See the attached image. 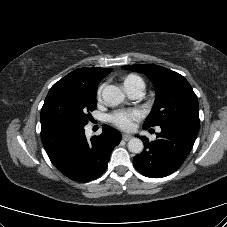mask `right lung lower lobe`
Masks as SVG:
<instances>
[{
    "mask_svg": "<svg viewBox=\"0 0 227 227\" xmlns=\"http://www.w3.org/2000/svg\"><path fill=\"white\" fill-rule=\"evenodd\" d=\"M84 126L54 122L41 126V139L53 165L68 178L87 182L107 168L110 154L121 141V133L103 125V132L87 140Z\"/></svg>",
    "mask_w": 227,
    "mask_h": 227,
    "instance_id": "obj_1",
    "label": "right lung lower lobe"
}]
</instances>
